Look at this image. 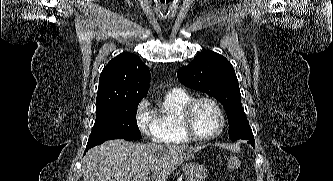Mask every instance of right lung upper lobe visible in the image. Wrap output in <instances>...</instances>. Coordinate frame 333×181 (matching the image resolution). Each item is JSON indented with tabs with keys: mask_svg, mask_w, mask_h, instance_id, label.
<instances>
[{
	"mask_svg": "<svg viewBox=\"0 0 333 181\" xmlns=\"http://www.w3.org/2000/svg\"><path fill=\"white\" fill-rule=\"evenodd\" d=\"M150 73L139 56L122 53L102 70L96 109L140 100L147 95Z\"/></svg>",
	"mask_w": 333,
	"mask_h": 181,
	"instance_id": "1",
	"label": "right lung upper lobe"
}]
</instances>
